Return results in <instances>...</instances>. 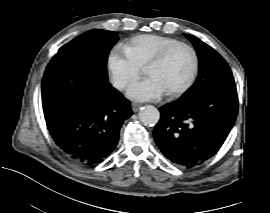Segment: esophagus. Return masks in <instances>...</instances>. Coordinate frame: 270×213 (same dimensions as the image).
<instances>
[{
    "instance_id": "esophagus-1",
    "label": "esophagus",
    "mask_w": 270,
    "mask_h": 213,
    "mask_svg": "<svg viewBox=\"0 0 270 213\" xmlns=\"http://www.w3.org/2000/svg\"><path fill=\"white\" fill-rule=\"evenodd\" d=\"M131 107H132V110L134 111V112H137L140 108H141V105L140 104H138V103H132L131 104Z\"/></svg>"
}]
</instances>
